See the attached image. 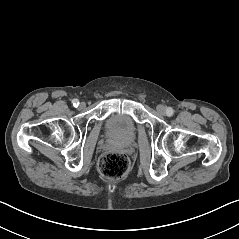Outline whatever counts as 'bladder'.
Instances as JSON below:
<instances>
[{
  "label": "bladder",
  "mask_w": 239,
  "mask_h": 239,
  "mask_svg": "<svg viewBox=\"0 0 239 239\" xmlns=\"http://www.w3.org/2000/svg\"><path fill=\"white\" fill-rule=\"evenodd\" d=\"M105 131L112 140L122 144H130L136 137L137 128L130 116L114 113L106 119Z\"/></svg>",
  "instance_id": "obj_1"
}]
</instances>
